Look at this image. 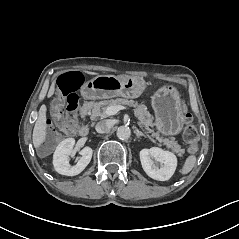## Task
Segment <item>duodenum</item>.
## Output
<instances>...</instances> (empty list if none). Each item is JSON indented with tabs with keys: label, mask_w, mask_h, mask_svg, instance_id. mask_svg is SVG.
<instances>
[{
	"label": "duodenum",
	"mask_w": 239,
	"mask_h": 239,
	"mask_svg": "<svg viewBox=\"0 0 239 239\" xmlns=\"http://www.w3.org/2000/svg\"><path fill=\"white\" fill-rule=\"evenodd\" d=\"M88 114V106H83L81 109V115L82 117H86ZM89 133V126L87 124H82L79 128V135L84 137L87 136Z\"/></svg>",
	"instance_id": "duodenum-1"
}]
</instances>
